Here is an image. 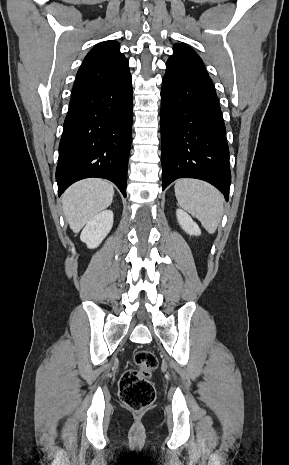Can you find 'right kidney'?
Returning <instances> with one entry per match:
<instances>
[{
	"mask_svg": "<svg viewBox=\"0 0 289 465\" xmlns=\"http://www.w3.org/2000/svg\"><path fill=\"white\" fill-rule=\"evenodd\" d=\"M113 226V212L104 210L95 215L82 230L80 239L88 248H96L108 235Z\"/></svg>",
	"mask_w": 289,
	"mask_h": 465,
	"instance_id": "obj_1",
	"label": "right kidney"
}]
</instances>
